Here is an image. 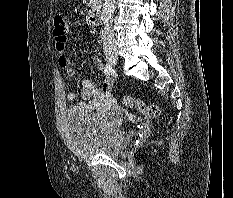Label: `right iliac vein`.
Returning a JSON list of instances; mask_svg holds the SVG:
<instances>
[{
    "mask_svg": "<svg viewBox=\"0 0 233 198\" xmlns=\"http://www.w3.org/2000/svg\"><path fill=\"white\" fill-rule=\"evenodd\" d=\"M107 59L110 62V64L115 65L118 61V55L116 52L111 51L107 53Z\"/></svg>",
    "mask_w": 233,
    "mask_h": 198,
    "instance_id": "1",
    "label": "right iliac vein"
}]
</instances>
